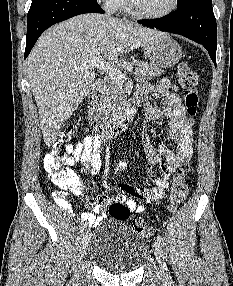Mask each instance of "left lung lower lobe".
<instances>
[{"mask_svg": "<svg viewBox=\"0 0 233 286\" xmlns=\"http://www.w3.org/2000/svg\"><path fill=\"white\" fill-rule=\"evenodd\" d=\"M177 8L173 14L158 19L139 20L138 23L180 34L202 44L216 65L217 24L212 0H186Z\"/></svg>", "mask_w": 233, "mask_h": 286, "instance_id": "obj_1", "label": "left lung lower lobe"}]
</instances>
